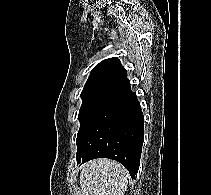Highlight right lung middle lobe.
Instances as JSON below:
<instances>
[{"label":"right lung middle lobe","mask_w":211,"mask_h":195,"mask_svg":"<svg viewBox=\"0 0 211 195\" xmlns=\"http://www.w3.org/2000/svg\"><path fill=\"white\" fill-rule=\"evenodd\" d=\"M113 94L114 93L105 91L81 93V98L83 102L78 115L80 128L76 140L77 147L85 138L88 131L91 129L97 117L104 109L105 105Z\"/></svg>","instance_id":"obj_1"}]
</instances>
